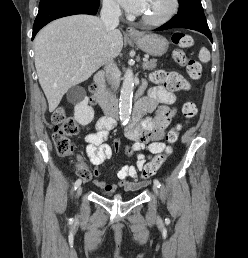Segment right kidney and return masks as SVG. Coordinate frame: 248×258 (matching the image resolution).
I'll return each instance as SVG.
<instances>
[{"instance_id":"1","label":"right kidney","mask_w":248,"mask_h":258,"mask_svg":"<svg viewBox=\"0 0 248 258\" xmlns=\"http://www.w3.org/2000/svg\"><path fill=\"white\" fill-rule=\"evenodd\" d=\"M68 99L76 102L74 107V118L81 125H87L94 118V110L88 106V98L82 88L72 89L68 94Z\"/></svg>"}]
</instances>
